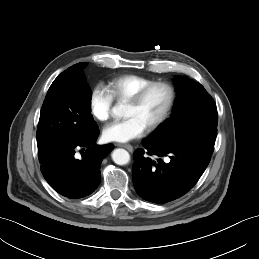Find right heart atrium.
<instances>
[{
    "mask_svg": "<svg viewBox=\"0 0 259 259\" xmlns=\"http://www.w3.org/2000/svg\"><path fill=\"white\" fill-rule=\"evenodd\" d=\"M113 98L108 89L97 84L90 94V109L92 115L99 121H107L112 114Z\"/></svg>",
    "mask_w": 259,
    "mask_h": 259,
    "instance_id": "d8ad5b80",
    "label": "right heart atrium"
}]
</instances>
